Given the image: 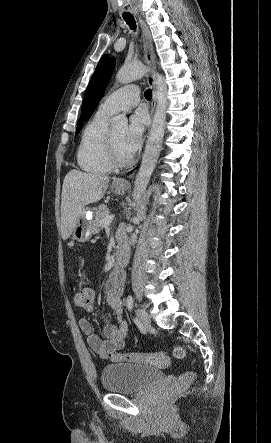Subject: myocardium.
Instances as JSON below:
<instances>
[{
  "label": "myocardium",
  "mask_w": 271,
  "mask_h": 443,
  "mask_svg": "<svg viewBox=\"0 0 271 443\" xmlns=\"http://www.w3.org/2000/svg\"><path fill=\"white\" fill-rule=\"evenodd\" d=\"M108 149H109L110 158H111L114 165L125 166L131 162L130 156L124 157L119 152V150L116 146L112 131H110L109 135H108Z\"/></svg>",
  "instance_id": "1"
}]
</instances>
